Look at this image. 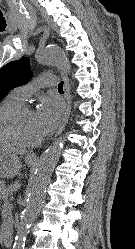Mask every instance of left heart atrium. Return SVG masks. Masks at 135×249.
Wrapping results in <instances>:
<instances>
[{
  "label": "left heart atrium",
  "instance_id": "39dd6f15",
  "mask_svg": "<svg viewBox=\"0 0 135 249\" xmlns=\"http://www.w3.org/2000/svg\"><path fill=\"white\" fill-rule=\"evenodd\" d=\"M64 111L61 100L44 98L35 112V119L41 135L54 130Z\"/></svg>",
  "mask_w": 135,
  "mask_h": 249
}]
</instances>
